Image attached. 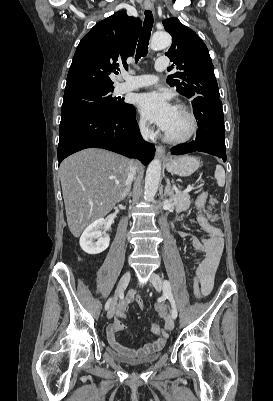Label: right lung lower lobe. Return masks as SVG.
I'll list each match as a JSON object with an SVG mask.
<instances>
[{"mask_svg": "<svg viewBox=\"0 0 273 401\" xmlns=\"http://www.w3.org/2000/svg\"><path fill=\"white\" fill-rule=\"evenodd\" d=\"M125 104V103H124ZM58 160L82 149L97 147L111 150L145 165L154 157V145L145 142L136 122L133 105L119 112L77 110L61 116Z\"/></svg>", "mask_w": 273, "mask_h": 401, "instance_id": "obj_1", "label": "right lung lower lobe"}]
</instances>
